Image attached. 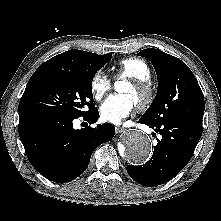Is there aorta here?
Listing matches in <instances>:
<instances>
[{
    "mask_svg": "<svg viewBox=\"0 0 221 221\" xmlns=\"http://www.w3.org/2000/svg\"><path fill=\"white\" fill-rule=\"evenodd\" d=\"M116 82L115 89L118 91ZM122 156L131 164L141 165L151 156L152 145L150 138L139 130H129L123 138Z\"/></svg>",
    "mask_w": 221,
    "mask_h": 221,
    "instance_id": "aorta-1",
    "label": "aorta"
}]
</instances>
